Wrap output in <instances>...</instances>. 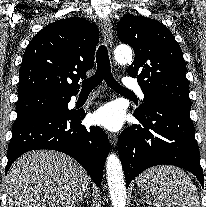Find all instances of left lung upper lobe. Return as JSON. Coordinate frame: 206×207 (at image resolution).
Wrapping results in <instances>:
<instances>
[{
  "label": "left lung upper lobe",
  "instance_id": "left-lung-upper-lobe-1",
  "mask_svg": "<svg viewBox=\"0 0 206 207\" xmlns=\"http://www.w3.org/2000/svg\"><path fill=\"white\" fill-rule=\"evenodd\" d=\"M119 39L135 51L128 74L137 78L144 94V112L151 99L191 105L186 63L178 42L170 30L157 20L127 15L117 25Z\"/></svg>",
  "mask_w": 206,
  "mask_h": 207
}]
</instances>
